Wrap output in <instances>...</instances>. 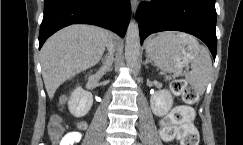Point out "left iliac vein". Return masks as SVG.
Wrapping results in <instances>:
<instances>
[{"label": "left iliac vein", "instance_id": "obj_1", "mask_svg": "<svg viewBox=\"0 0 243 145\" xmlns=\"http://www.w3.org/2000/svg\"><path fill=\"white\" fill-rule=\"evenodd\" d=\"M133 145H139L138 143H134Z\"/></svg>", "mask_w": 243, "mask_h": 145}]
</instances>
